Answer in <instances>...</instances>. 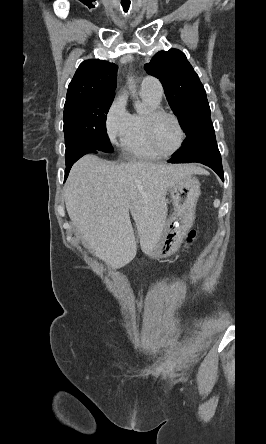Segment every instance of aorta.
Listing matches in <instances>:
<instances>
[{
    "label": "aorta",
    "instance_id": "obj_1",
    "mask_svg": "<svg viewBox=\"0 0 266 444\" xmlns=\"http://www.w3.org/2000/svg\"><path fill=\"white\" fill-rule=\"evenodd\" d=\"M128 84L130 86L133 96H135L134 79L132 77L128 78ZM135 109L138 113H142L144 111V106L142 103H140L139 100L135 101Z\"/></svg>",
    "mask_w": 266,
    "mask_h": 444
}]
</instances>
